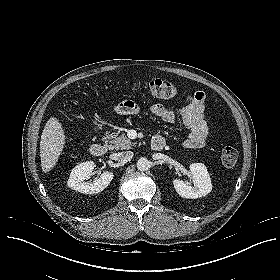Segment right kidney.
Masks as SVG:
<instances>
[{
    "instance_id": "right-kidney-1",
    "label": "right kidney",
    "mask_w": 280,
    "mask_h": 280,
    "mask_svg": "<svg viewBox=\"0 0 280 280\" xmlns=\"http://www.w3.org/2000/svg\"><path fill=\"white\" fill-rule=\"evenodd\" d=\"M94 167L93 161H86L74 167L67 181L68 187L84 194H97L103 191L114 175L112 172L104 171L100 178L93 182H85L92 175Z\"/></svg>"
}]
</instances>
